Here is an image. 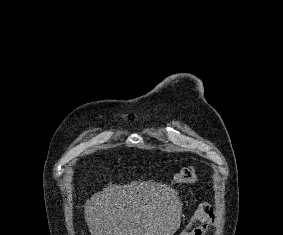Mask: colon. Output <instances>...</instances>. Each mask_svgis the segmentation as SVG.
Returning <instances> with one entry per match:
<instances>
[{"label":"colon","instance_id":"colon-1","mask_svg":"<svg viewBox=\"0 0 283 235\" xmlns=\"http://www.w3.org/2000/svg\"><path fill=\"white\" fill-rule=\"evenodd\" d=\"M174 180L177 183H195L197 173L193 167H184L175 174Z\"/></svg>","mask_w":283,"mask_h":235}]
</instances>
